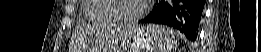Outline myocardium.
I'll return each instance as SVG.
<instances>
[{
  "label": "myocardium",
  "mask_w": 261,
  "mask_h": 52,
  "mask_svg": "<svg viewBox=\"0 0 261 52\" xmlns=\"http://www.w3.org/2000/svg\"><path fill=\"white\" fill-rule=\"evenodd\" d=\"M119 1H125V0H113L112 3H111V9L113 11V15H114L115 19L117 20V22H120V23L137 22L138 20H140L142 18V16L144 15V13L146 11V3L141 1L140 8H139V10L137 11L136 14H134L130 17L118 15L116 13V5H117V2H119Z\"/></svg>",
  "instance_id": "myocardium-1"
}]
</instances>
